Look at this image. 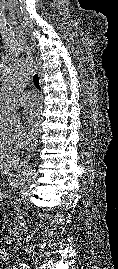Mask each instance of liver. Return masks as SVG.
<instances>
[{
	"label": "liver",
	"instance_id": "1",
	"mask_svg": "<svg viewBox=\"0 0 118 269\" xmlns=\"http://www.w3.org/2000/svg\"><path fill=\"white\" fill-rule=\"evenodd\" d=\"M19 162L20 158L16 155H12L9 153L0 154V168H4L7 170L15 169L18 167Z\"/></svg>",
	"mask_w": 118,
	"mask_h": 269
}]
</instances>
